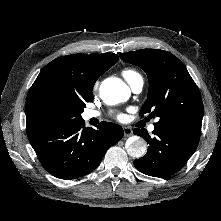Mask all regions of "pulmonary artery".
I'll return each mask as SVG.
<instances>
[{"mask_svg": "<svg viewBox=\"0 0 221 221\" xmlns=\"http://www.w3.org/2000/svg\"><path fill=\"white\" fill-rule=\"evenodd\" d=\"M144 85V81L142 77L137 78L136 80H134L133 82L130 83L131 89L133 90V92L135 93H139L141 92L142 88ZM99 116V113L97 111L94 110H88L85 112V118L86 119H91V118H95ZM155 129L154 125H151L149 127L150 131H153Z\"/></svg>", "mask_w": 221, "mask_h": 221, "instance_id": "pulmonary-artery-1", "label": "pulmonary artery"}]
</instances>
